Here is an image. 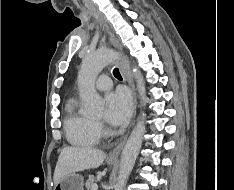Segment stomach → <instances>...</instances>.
Masks as SVG:
<instances>
[{"mask_svg": "<svg viewBox=\"0 0 234 190\" xmlns=\"http://www.w3.org/2000/svg\"><path fill=\"white\" fill-rule=\"evenodd\" d=\"M109 163H115L114 160H110ZM84 179L81 175L76 173H69L62 177L57 183L54 190H83Z\"/></svg>", "mask_w": 234, "mask_h": 190, "instance_id": "1", "label": "stomach"}]
</instances>
